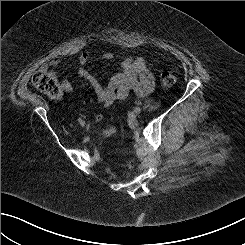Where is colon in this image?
<instances>
[{
	"mask_svg": "<svg viewBox=\"0 0 245 245\" xmlns=\"http://www.w3.org/2000/svg\"><path fill=\"white\" fill-rule=\"evenodd\" d=\"M176 83V77L172 72L164 71L160 75V84L164 88H170ZM33 86L50 98H59L61 89L52 71L41 68L32 76ZM130 169L136 168L135 159L131 158L127 162Z\"/></svg>",
	"mask_w": 245,
	"mask_h": 245,
	"instance_id": "5ec220e1",
	"label": "colon"
}]
</instances>
